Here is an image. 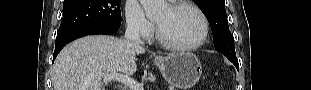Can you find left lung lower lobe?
<instances>
[{
  "mask_svg": "<svg viewBox=\"0 0 311 90\" xmlns=\"http://www.w3.org/2000/svg\"><path fill=\"white\" fill-rule=\"evenodd\" d=\"M228 59L236 66L237 69L239 68L237 58H228Z\"/></svg>",
  "mask_w": 311,
  "mask_h": 90,
  "instance_id": "obj_1",
  "label": "left lung lower lobe"
}]
</instances>
